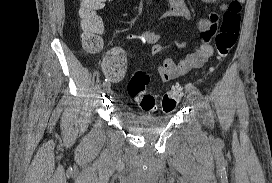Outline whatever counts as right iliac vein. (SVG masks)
Listing matches in <instances>:
<instances>
[{
    "label": "right iliac vein",
    "mask_w": 272,
    "mask_h": 183,
    "mask_svg": "<svg viewBox=\"0 0 272 183\" xmlns=\"http://www.w3.org/2000/svg\"><path fill=\"white\" fill-rule=\"evenodd\" d=\"M104 91H106L109 94L111 92V84L104 86Z\"/></svg>",
    "instance_id": "right-iliac-vein-1"
}]
</instances>
